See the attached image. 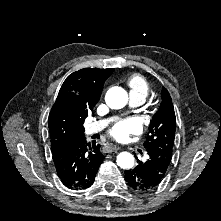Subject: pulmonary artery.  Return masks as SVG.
Masks as SVG:
<instances>
[{"label": "pulmonary artery", "instance_id": "1", "mask_svg": "<svg viewBox=\"0 0 221 221\" xmlns=\"http://www.w3.org/2000/svg\"><path fill=\"white\" fill-rule=\"evenodd\" d=\"M145 102V99L141 96L131 94L130 95V104L134 107H138ZM110 122V119L100 120L91 123L87 127V134H92L101 131L105 126Z\"/></svg>", "mask_w": 221, "mask_h": 221}]
</instances>
